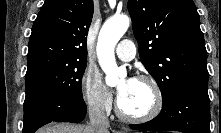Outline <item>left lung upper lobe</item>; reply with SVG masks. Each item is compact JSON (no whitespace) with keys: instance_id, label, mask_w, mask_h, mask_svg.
<instances>
[{"instance_id":"1","label":"left lung upper lobe","mask_w":221,"mask_h":133,"mask_svg":"<svg viewBox=\"0 0 221 133\" xmlns=\"http://www.w3.org/2000/svg\"><path fill=\"white\" fill-rule=\"evenodd\" d=\"M140 58L166 100L189 82L208 83L207 51L192 0H128Z\"/></svg>"}]
</instances>
